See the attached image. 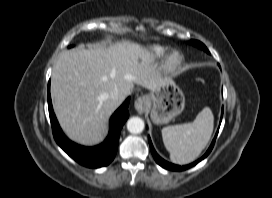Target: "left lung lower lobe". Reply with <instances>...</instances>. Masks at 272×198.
Wrapping results in <instances>:
<instances>
[{
  "mask_svg": "<svg viewBox=\"0 0 272 198\" xmlns=\"http://www.w3.org/2000/svg\"><path fill=\"white\" fill-rule=\"evenodd\" d=\"M222 115H223V109H222ZM218 133V131H217ZM217 133L215 135V138L213 139L212 141V144L211 146L209 147V149L207 150V152L204 154V156H202L199 160L189 164V165H185V166H178V165H174V164H171L167 161H165L164 159H162L157 153L156 151L154 150L153 148V145L151 143V140H150V137L148 138L149 140V144H150V149H151V152H152V155L155 159V161L163 168L165 169H169V170H174V171H182V170H186L188 168H191L193 166H195L198 162H200L201 160H203L209 153L210 151L212 150L213 146H214V143H215V140H216V137H217Z\"/></svg>",
  "mask_w": 272,
  "mask_h": 198,
  "instance_id": "0a47b994",
  "label": "left lung lower lobe"
}]
</instances>
